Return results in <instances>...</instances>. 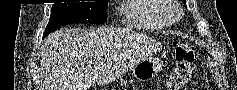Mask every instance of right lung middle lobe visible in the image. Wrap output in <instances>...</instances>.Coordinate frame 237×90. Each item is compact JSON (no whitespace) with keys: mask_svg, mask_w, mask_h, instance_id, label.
Masks as SVG:
<instances>
[{"mask_svg":"<svg viewBox=\"0 0 237 90\" xmlns=\"http://www.w3.org/2000/svg\"><path fill=\"white\" fill-rule=\"evenodd\" d=\"M108 1L109 0H100L95 2L53 4L44 37L67 24H103L107 18L105 10L108 6Z\"/></svg>","mask_w":237,"mask_h":90,"instance_id":"dd1d6c3e","label":"right lung middle lobe"}]
</instances>
